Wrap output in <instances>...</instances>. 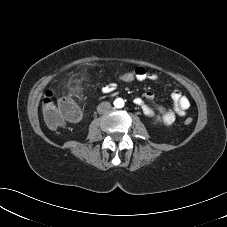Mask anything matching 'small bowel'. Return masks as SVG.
Listing matches in <instances>:
<instances>
[{
	"instance_id": "1",
	"label": "small bowel",
	"mask_w": 227,
	"mask_h": 227,
	"mask_svg": "<svg viewBox=\"0 0 227 227\" xmlns=\"http://www.w3.org/2000/svg\"><path fill=\"white\" fill-rule=\"evenodd\" d=\"M136 71L138 73V81H154L157 80L158 76L154 72L147 71L143 67L136 68ZM117 88V85L115 83H109L102 87L103 93H112ZM154 94L152 92H145L143 94V98L147 100L153 99ZM171 100H172V108H165L162 105H157L156 110L158 112L157 119L165 126H170L174 123L176 116L180 115L183 116L186 113V110L190 106L189 99L182 95L178 91H174L171 94ZM134 103L139 106L143 113L148 117H153L155 115V110L150 107L144 99L137 97L134 99Z\"/></svg>"
}]
</instances>
